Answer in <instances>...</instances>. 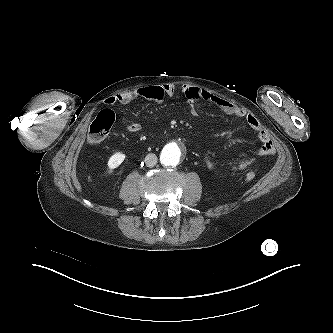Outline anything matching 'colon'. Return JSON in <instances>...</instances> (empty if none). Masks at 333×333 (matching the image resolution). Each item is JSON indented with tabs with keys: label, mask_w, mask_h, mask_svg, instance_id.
Returning <instances> with one entry per match:
<instances>
[{
	"label": "colon",
	"mask_w": 333,
	"mask_h": 333,
	"mask_svg": "<svg viewBox=\"0 0 333 333\" xmlns=\"http://www.w3.org/2000/svg\"><path fill=\"white\" fill-rule=\"evenodd\" d=\"M114 120L115 116L111 110H102L90 125L88 134L90 144L97 145L102 142L109 133ZM245 179L247 181H252L255 179V174L253 172H248L245 175Z\"/></svg>",
	"instance_id": "5ec220e1"
}]
</instances>
